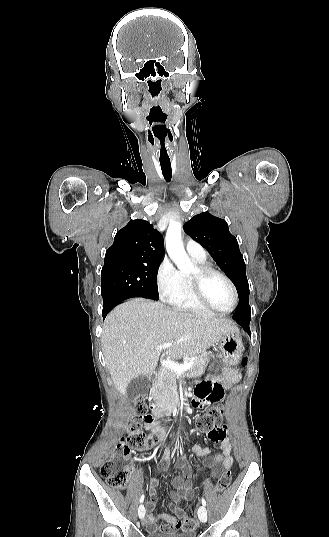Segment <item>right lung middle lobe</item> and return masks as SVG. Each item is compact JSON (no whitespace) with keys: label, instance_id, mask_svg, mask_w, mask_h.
Instances as JSON below:
<instances>
[{"label":"right lung middle lobe","instance_id":"1","mask_svg":"<svg viewBox=\"0 0 329 537\" xmlns=\"http://www.w3.org/2000/svg\"><path fill=\"white\" fill-rule=\"evenodd\" d=\"M160 263L161 261H154L104 266L101 271L102 297L117 293L158 300L157 272Z\"/></svg>","mask_w":329,"mask_h":537}]
</instances>
